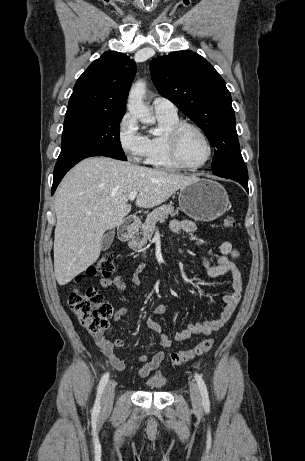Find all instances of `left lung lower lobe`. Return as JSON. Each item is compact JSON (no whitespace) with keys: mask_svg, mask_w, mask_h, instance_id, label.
I'll use <instances>...</instances> for the list:
<instances>
[{"mask_svg":"<svg viewBox=\"0 0 305 461\" xmlns=\"http://www.w3.org/2000/svg\"><path fill=\"white\" fill-rule=\"evenodd\" d=\"M225 178H229V179L239 182L248 192V178L244 179V178L235 177V176H225Z\"/></svg>","mask_w":305,"mask_h":461,"instance_id":"obj_1","label":"left lung lower lobe"}]
</instances>
